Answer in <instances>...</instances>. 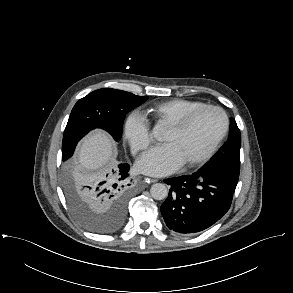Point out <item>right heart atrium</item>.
I'll return each instance as SVG.
<instances>
[{
	"mask_svg": "<svg viewBox=\"0 0 293 293\" xmlns=\"http://www.w3.org/2000/svg\"><path fill=\"white\" fill-rule=\"evenodd\" d=\"M122 137L136 154L152 143V134L146 118L139 111H131L124 118Z\"/></svg>",
	"mask_w": 293,
	"mask_h": 293,
	"instance_id": "right-heart-atrium-1",
	"label": "right heart atrium"
}]
</instances>
